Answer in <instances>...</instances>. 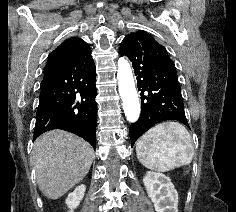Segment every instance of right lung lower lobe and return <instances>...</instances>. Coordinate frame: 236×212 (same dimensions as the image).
<instances>
[{"label":"right lung lower lobe","mask_w":236,"mask_h":212,"mask_svg":"<svg viewBox=\"0 0 236 212\" xmlns=\"http://www.w3.org/2000/svg\"><path fill=\"white\" fill-rule=\"evenodd\" d=\"M95 80V64L88 45L75 56L44 68L33 140L46 131L64 129L95 148Z\"/></svg>","instance_id":"obj_1"}]
</instances>
